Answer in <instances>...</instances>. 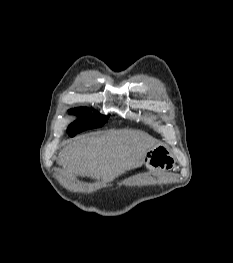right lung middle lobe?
Returning a JSON list of instances; mask_svg holds the SVG:
<instances>
[{
  "label": "right lung middle lobe",
  "instance_id": "obj_1",
  "mask_svg": "<svg viewBox=\"0 0 233 263\" xmlns=\"http://www.w3.org/2000/svg\"><path fill=\"white\" fill-rule=\"evenodd\" d=\"M71 114H79L78 119L69 125L68 134L73 137L76 134L93 128L102 127L108 120L109 116L101 115L98 112H90L89 109H72Z\"/></svg>",
  "mask_w": 233,
  "mask_h": 263
}]
</instances>
